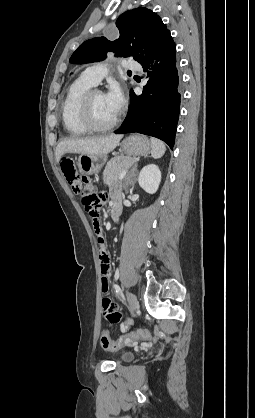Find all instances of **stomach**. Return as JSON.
I'll return each mask as SVG.
<instances>
[{"label": "stomach", "instance_id": "0dacf381", "mask_svg": "<svg viewBox=\"0 0 255 418\" xmlns=\"http://www.w3.org/2000/svg\"><path fill=\"white\" fill-rule=\"evenodd\" d=\"M120 147L129 157L147 155L150 152L151 144L147 137L142 135H131L125 138ZM107 160L106 155L82 154L78 159V168L82 174H97Z\"/></svg>", "mask_w": 255, "mask_h": 418}]
</instances>
